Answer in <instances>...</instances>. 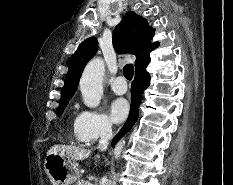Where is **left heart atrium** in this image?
<instances>
[{
  "label": "left heart atrium",
  "mask_w": 233,
  "mask_h": 185,
  "mask_svg": "<svg viewBox=\"0 0 233 185\" xmlns=\"http://www.w3.org/2000/svg\"><path fill=\"white\" fill-rule=\"evenodd\" d=\"M128 111V102L123 98L114 99L109 107L110 118L115 123L123 121L126 118Z\"/></svg>",
  "instance_id": "obj_1"
}]
</instances>
